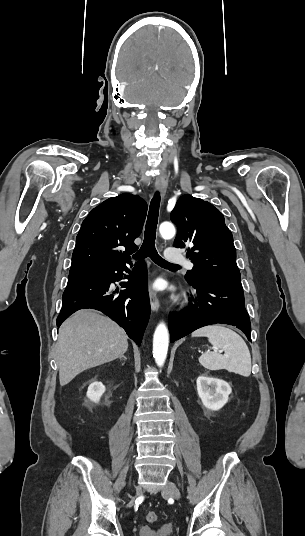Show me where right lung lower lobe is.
Returning a JSON list of instances; mask_svg holds the SVG:
<instances>
[{"mask_svg":"<svg viewBox=\"0 0 305 536\" xmlns=\"http://www.w3.org/2000/svg\"><path fill=\"white\" fill-rule=\"evenodd\" d=\"M128 264L132 267L130 262ZM123 271L131 273L125 264L97 273L69 277L57 326L75 311L93 308L118 323L140 345L150 316L146 264L142 261L133 267L129 281L122 285L126 290L119 295L110 294V284L122 279Z\"/></svg>","mask_w":305,"mask_h":536,"instance_id":"98d812e1","label":"right lung lower lobe"}]
</instances>
